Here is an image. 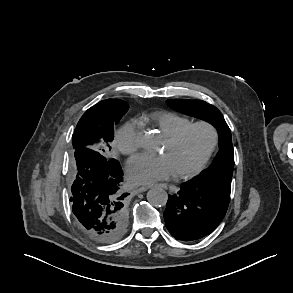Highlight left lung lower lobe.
Wrapping results in <instances>:
<instances>
[{
    "instance_id": "0a47b994",
    "label": "left lung lower lobe",
    "mask_w": 293,
    "mask_h": 293,
    "mask_svg": "<svg viewBox=\"0 0 293 293\" xmlns=\"http://www.w3.org/2000/svg\"><path fill=\"white\" fill-rule=\"evenodd\" d=\"M231 180L195 178L169 195L164 212L168 231L177 240L193 241L211 233L223 220L230 201Z\"/></svg>"
}]
</instances>
